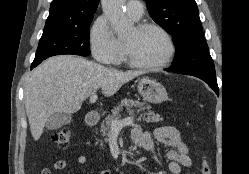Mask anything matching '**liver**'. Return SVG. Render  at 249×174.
Segmentation results:
<instances>
[{
  "label": "liver",
  "mask_w": 249,
  "mask_h": 174,
  "mask_svg": "<svg viewBox=\"0 0 249 174\" xmlns=\"http://www.w3.org/2000/svg\"><path fill=\"white\" fill-rule=\"evenodd\" d=\"M143 73L119 71L70 55L49 58L29 73L25 83V109L34 140L41 137L54 113H75L99 88L110 97Z\"/></svg>",
  "instance_id": "6515ba94"
}]
</instances>
